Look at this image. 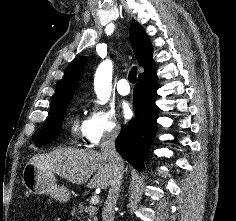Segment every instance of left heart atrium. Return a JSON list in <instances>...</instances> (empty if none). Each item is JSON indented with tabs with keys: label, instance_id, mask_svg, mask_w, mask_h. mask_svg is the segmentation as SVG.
I'll use <instances>...</instances> for the list:
<instances>
[{
	"label": "left heart atrium",
	"instance_id": "1",
	"mask_svg": "<svg viewBox=\"0 0 236 221\" xmlns=\"http://www.w3.org/2000/svg\"><path fill=\"white\" fill-rule=\"evenodd\" d=\"M121 113L122 116L127 120L130 119L133 115L132 108L129 103L123 102L121 104Z\"/></svg>",
	"mask_w": 236,
	"mask_h": 221
}]
</instances>
